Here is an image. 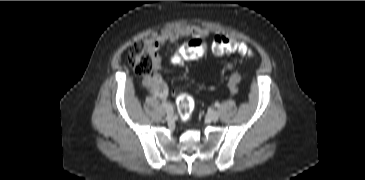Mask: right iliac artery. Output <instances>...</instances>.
Instances as JSON below:
<instances>
[{
	"label": "right iliac artery",
	"mask_w": 365,
	"mask_h": 180,
	"mask_svg": "<svg viewBox=\"0 0 365 180\" xmlns=\"http://www.w3.org/2000/svg\"><path fill=\"white\" fill-rule=\"evenodd\" d=\"M162 105L165 107V106H167L168 104H167V102H166V101H163V102H162Z\"/></svg>",
	"instance_id": "obj_1"
}]
</instances>
